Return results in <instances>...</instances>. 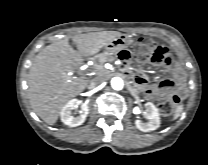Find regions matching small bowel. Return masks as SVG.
<instances>
[{
    "label": "small bowel",
    "instance_id": "obj_1",
    "mask_svg": "<svg viewBox=\"0 0 208 165\" xmlns=\"http://www.w3.org/2000/svg\"><path fill=\"white\" fill-rule=\"evenodd\" d=\"M126 74H130L129 71H125ZM135 83L140 86L148 98H154L157 94L169 97L174 95L179 87V82L183 80L182 73L177 69H173L172 73L159 74L154 82V86L148 84L145 77L137 75L134 77Z\"/></svg>",
    "mask_w": 208,
    "mask_h": 165
}]
</instances>
